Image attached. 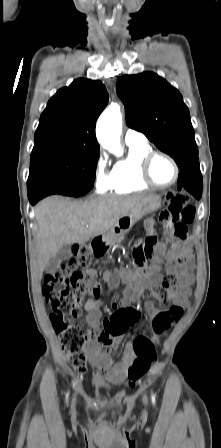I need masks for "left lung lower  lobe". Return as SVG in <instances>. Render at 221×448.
I'll return each mask as SVG.
<instances>
[{
    "label": "left lung lower lobe",
    "mask_w": 221,
    "mask_h": 448,
    "mask_svg": "<svg viewBox=\"0 0 221 448\" xmlns=\"http://www.w3.org/2000/svg\"><path fill=\"white\" fill-rule=\"evenodd\" d=\"M185 188L197 199L202 196V175L199 167L181 170L178 177V189Z\"/></svg>",
    "instance_id": "obj_1"
}]
</instances>
